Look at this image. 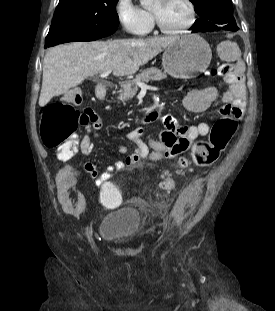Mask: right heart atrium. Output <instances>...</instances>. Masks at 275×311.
Wrapping results in <instances>:
<instances>
[{
	"instance_id": "d8ad5b80",
	"label": "right heart atrium",
	"mask_w": 275,
	"mask_h": 311,
	"mask_svg": "<svg viewBox=\"0 0 275 311\" xmlns=\"http://www.w3.org/2000/svg\"><path fill=\"white\" fill-rule=\"evenodd\" d=\"M114 11L120 26L131 34L143 35L152 27L151 16L133 0H116Z\"/></svg>"
}]
</instances>
